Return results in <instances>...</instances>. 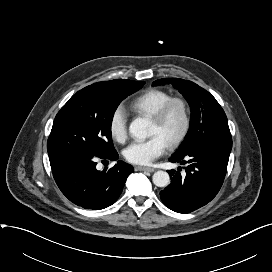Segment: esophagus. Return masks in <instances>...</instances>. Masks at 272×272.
Listing matches in <instances>:
<instances>
[{
	"mask_svg": "<svg viewBox=\"0 0 272 272\" xmlns=\"http://www.w3.org/2000/svg\"><path fill=\"white\" fill-rule=\"evenodd\" d=\"M136 170L138 171H148V172H154L155 169L152 167H142V166H138L136 167Z\"/></svg>",
	"mask_w": 272,
	"mask_h": 272,
	"instance_id": "1",
	"label": "esophagus"
}]
</instances>
